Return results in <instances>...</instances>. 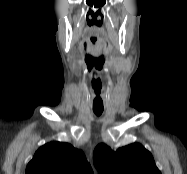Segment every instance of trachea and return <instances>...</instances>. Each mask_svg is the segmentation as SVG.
<instances>
[{"instance_id": "obj_1", "label": "trachea", "mask_w": 187, "mask_h": 174, "mask_svg": "<svg viewBox=\"0 0 187 174\" xmlns=\"http://www.w3.org/2000/svg\"><path fill=\"white\" fill-rule=\"evenodd\" d=\"M93 111L94 113L97 115V116H100L103 112V109H97V108H93Z\"/></svg>"}]
</instances>
